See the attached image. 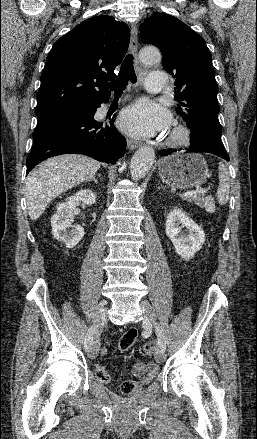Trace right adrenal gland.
Returning a JSON list of instances; mask_svg holds the SVG:
<instances>
[{"instance_id": "1", "label": "right adrenal gland", "mask_w": 257, "mask_h": 439, "mask_svg": "<svg viewBox=\"0 0 257 439\" xmlns=\"http://www.w3.org/2000/svg\"><path fill=\"white\" fill-rule=\"evenodd\" d=\"M98 176L101 177L100 174H98ZM90 181H93V182H95L96 184H98V181H97V179L95 178V176H94L91 180H89V182H90Z\"/></svg>"}]
</instances>
